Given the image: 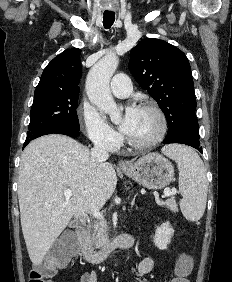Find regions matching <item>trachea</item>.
Segmentation results:
<instances>
[{"instance_id": "1", "label": "trachea", "mask_w": 232, "mask_h": 282, "mask_svg": "<svg viewBox=\"0 0 232 282\" xmlns=\"http://www.w3.org/2000/svg\"><path fill=\"white\" fill-rule=\"evenodd\" d=\"M115 20V13L114 12H104V17H103V25L104 28L109 29Z\"/></svg>"}]
</instances>
